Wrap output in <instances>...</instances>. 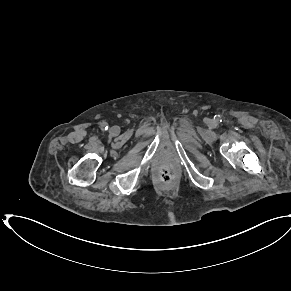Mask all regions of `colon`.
Instances as JSON below:
<instances>
[{"label": "colon", "mask_w": 291, "mask_h": 291, "mask_svg": "<svg viewBox=\"0 0 291 291\" xmlns=\"http://www.w3.org/2000/svg\"><path fill=\"white\" fill-rule=\"evenodd\" d=\"M159 178L163 182H170L174 178V170L171 166L165 165L159 171Z\"/></svg>", "instance_id": "5ec220e1"}]
</instances>
